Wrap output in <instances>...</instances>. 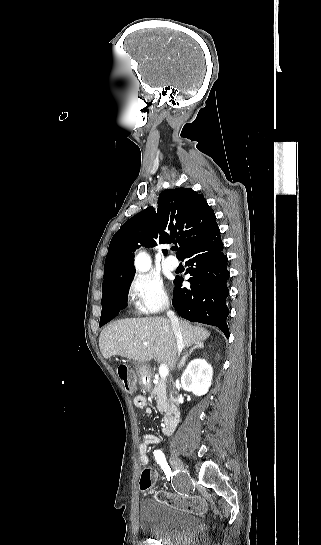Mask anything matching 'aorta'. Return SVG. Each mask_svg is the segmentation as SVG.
Here are the masks:
<instances>
[{
    "instance_id": "obj_1",
    "label": "aorta",
    "mask_w": 321,
    "mask_h": 545,
    "mask_svg": "<svg viewBox=\"0 0 321 545\" xmlns=\"http://www.w3.org/2000/svg\"><path fill=\"white\" fill-rule=\"evenodd\" d=\"M135 264L137 269L142 272L148 271L151 266L150 258L144 253H139L135 258Z\"/></svg>"
}]
</instances>
